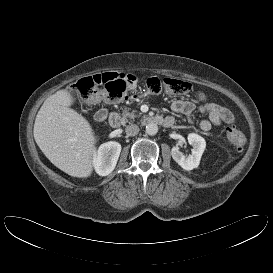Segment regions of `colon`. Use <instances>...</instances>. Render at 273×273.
<instances>
[{
  "mask_svg": "<svg viewBox=\"0 0 273 273\" xmlns=\"http://www.w3.org/2000/svg\"><path fill=\"white\" fill-rule=\"evenodd\" d=\"M129 80L130 76L114 72L95 74L80 79L73 86L72 93L74 98L82 103H94L100 99L107 102H118L129 98L127 95V82ZM100 85L104 87L101 93L96 90V87ZM146 89L151 95H159L165 92L172 96H181L190 91L191 85L187 81L176 78L151 77L146 81ZM226 133L235 148L238 150L244 148L247 140L240 130L228 127Z\"/></svg>",
  "mask_w": 273,
  "mask_h": 273,
  "instance_id": "obj_1",
  "label": "colon"
}]
</instances>
